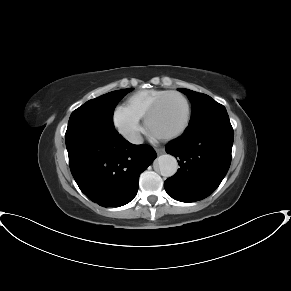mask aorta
I'll return each mask as SVG.
<instances>
[{
  "label": "aorta",
  "mask_w": 291,
  "mask_h": 291,
  "mask_svg": "<svg viewBox=\"0 0 291 291\" xmlns=\"http://www.w3.org/2000/svg\"><path fill=\"white\" fill-rule=\"evenodd\" d=\"M160 173L164 177H171L175 175L178 169V163L174 156L170 154H163L157 158Z\"/></svg>",
  "instance_id": "1"
}]
</instances>
